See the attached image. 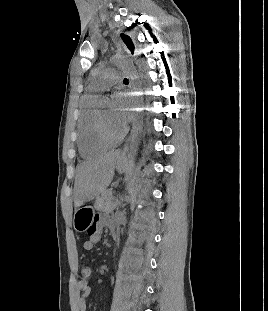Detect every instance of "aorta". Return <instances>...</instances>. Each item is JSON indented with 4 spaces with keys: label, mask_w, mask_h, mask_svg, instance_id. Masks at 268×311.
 Masks as SVG:
<instances>
[{
    "label": "aorta",
    "mask_w": 268,
    "mask_h": 311,
    "mask_svg": "<svg viewBox=\"0 0 268 311\" xmlns=\"http://www.w3.org/2000/svg\"><path fill=\"white\" fill-rule=\"evenodd\" d=\"M112 64L116 67L124 69V73L127 77L128 83H131V101H130V123L132 128L129 140L127 158L129 159V165L125 170V179L129 180L132 174V164L137 155V150L140 142V132L143 123V98L144 89L142 87L141 74L137 68V65H130V62L125 56H114L112 58Z\"/></svg>",
    "instance_id": "obj_1"
}]
</instances>
